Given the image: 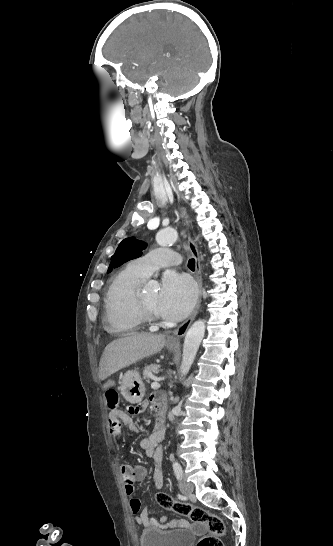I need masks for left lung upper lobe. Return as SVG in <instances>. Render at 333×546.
<instances>
[{
	"instance_id": "1",
	"label": "left lung upper lobe",
	"mask_w": 333,
	"mask_h": 546,
	"mask_svg": "<svg viewBox=\"0 0 333 546\" xmlns=\"http://www.w3.org/2000/svg\"><path fill=\"white\" fill-rule=\"evenodd\" d=\"M147 246L146 243L136 240L134 237L124 239L115 251V254L111 257V264L108 272L112 268L118 267L123 263L138 258L142 255V250Z\"/></svg>"
}]
</instances>
